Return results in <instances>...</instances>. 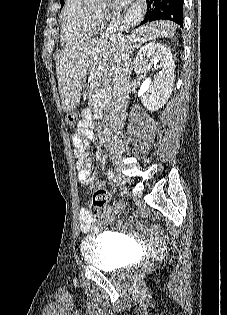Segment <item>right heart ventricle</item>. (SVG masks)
<instances>
[{"label": "right heart ventricle", "instance_id": "obj_1", "mask_svg": "<svg viewBox=\"0 0 227 315\" xmlns=\"http://www.w3.org/2000/svg\"><path fill=\"white\" fill-rule=\"evenodd\" d=\"M102 27L97 13L83 0H65L60 15L61 43L71 47L96 36Z\"/></svg>", "mask_w": 227, "mask_h": 315}]
</instances>
